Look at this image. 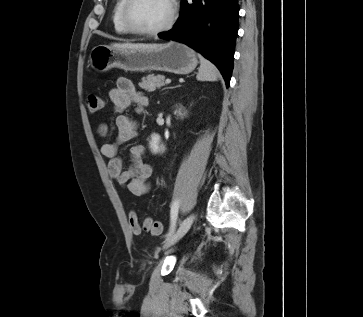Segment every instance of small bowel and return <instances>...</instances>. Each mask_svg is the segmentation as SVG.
Returning <instances> with one entry per match:
<instances>
[{
	"label": "small bowel",
	"mask_w": 363,
	"mask_h": 317,
	"mask_svg": "<svg viewBox=\"0 0 363 317\" xmlns=\"http://www.w3.org/2000/svg\"><path fill=\"white\" fill-rule=\"evenodd\" d=\"M109 98L117 112L124 111L132 104L138 107V111H142L148 103L147 98L138 92L134 84L127 78L117 80L116 86L109 92ZM98 132L102 137H108L111 134L110 127L106 123L99 125ZM136 135V122L125 115H119L116 118L114 140L102 145V153L109 159L108 172L110 177L133 195L141 196L149 191V180L153 172L151 164L145 161L147 152L145 146L134 145L131 147V165L129 167H125L124 161L119 156L120 146L135 138Z\"/></svg>",
	"instance_id": "c3829d8e"
}]
</instances>
